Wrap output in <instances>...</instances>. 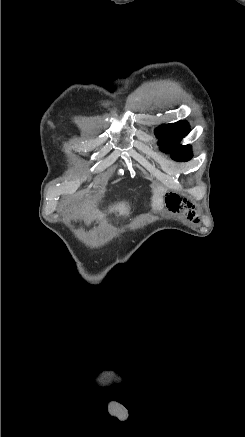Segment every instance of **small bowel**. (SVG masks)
Instances as JSON below:
<instances>
[{"instance_id":"small-bowel-1","label":"small bowel","mask_w":245,"mask_h":437,"mask_svg":"<svg viewBox=\"0 0 245 437\" xmlns=\"http://www.w3.org/2000/svg\"><path fill=\"white\" fill-rule=\"evenodd\" d=\"M165 205L170 211L174 213L183 215L191 220L196 218L195 206L193 205V203L184 198H181L177 194L169 193L166 196Z\"/></svg>"}]
</instances>
